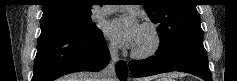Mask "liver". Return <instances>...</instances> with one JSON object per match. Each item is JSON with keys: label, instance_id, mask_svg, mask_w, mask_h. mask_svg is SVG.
I'll return each mask as SVG.
<instances>
[{"label": "liver", "instance_id": "1", "mask_svg": "<svg viewBox=\"0 0 237 81\" xmlns=\"http://www.w3.org/2000/svg\"><path fill=\"white\" fill-rule=\"evenodd\" d=\"M100 73L97 72H77L61 78V81H100Z\"/></svg>", "mask_w": 237, "mask_h": 81}]
</instances>
